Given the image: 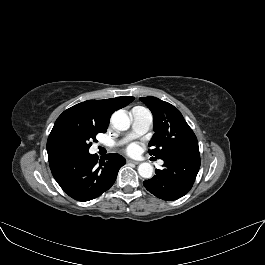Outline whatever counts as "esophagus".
I'll list each match as a JSON object with an SVG mask.
<instances>
[{"label":"esophagus","mask_w":265,"mask_h":265,"mask_svg":"<svg viewBox=\"0 0 265 265\" xmlns=\"http://www.w3.org/2000/svg\"><path fill=\"white\" fill-rule=\"evenodd\" d=\"M128 162H129V163H133V164H135V165H138V164H139L138 161H134V160H128Z\"/></svg>","instance_id":"34e87169"}]
</instances>
